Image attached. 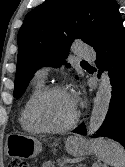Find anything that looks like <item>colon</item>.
Returning a JSON list of instances; mask_svg holds the SVG:
<instances>
[{"label": "colon", "instance_id": "1", "mask_svg": "<svg viewBox=\"0 0 125 167\" xmlns=\"http://www.w3.org/2000/svg\"><path fill=\"white\" fill-rule=\"evenodd\" d=\"M8 167H30L29 164L23 160L11 159L8 163Z\"/></svg>", "mask_w": 125, "mask_h": 167}]
</instances>
